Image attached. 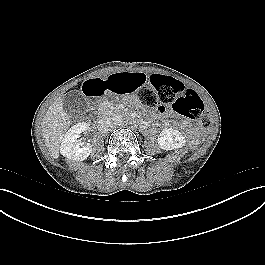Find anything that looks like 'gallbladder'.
Instances as JSON below:
<instances>
[{
    "mask_svg": "<svg viewBox=\"0 0 265 265\" xmlns=\"http://www.w3.org/2000/svg\"><path fill=\"white\" fill-rule=\"evenodd\" d=\"M63 108L71 117H78L86 110V102L77 91H70L63 96Z\"/></svg>",
    "mask_w": 265,
    "mask_h": 265,
    "instance_id": "1",
    "label": "gallbladder"
}]
</instances>
